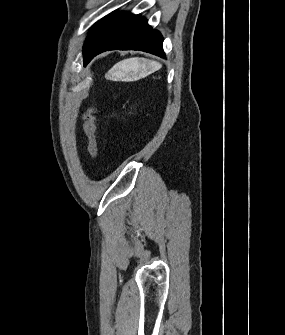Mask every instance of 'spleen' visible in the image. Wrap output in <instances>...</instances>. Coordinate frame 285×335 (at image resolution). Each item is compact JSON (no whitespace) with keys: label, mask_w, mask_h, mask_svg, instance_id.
I'll return each mask as SVG.
<instances>
[{"label":"spleen","mask_w":285,"mask_h":335,"mask_svg":"<svg viewBox=\"0 0 285 335\" xmlns=\"http://www.w3.org/2000/svg\"><path fill=\"white\" fill-rule=\"evenodd\" d=\"M143 62V64H142ZM146 64H149L148 60H139V58H133V60H129L127 62L126 66L129 68V70H133V72H138V70H146L147 66ZM151 66H153V70H160L162 68L161 64L159 62H150Z\"/></svg>","instance_id":"obj_1"}]
</instances>
